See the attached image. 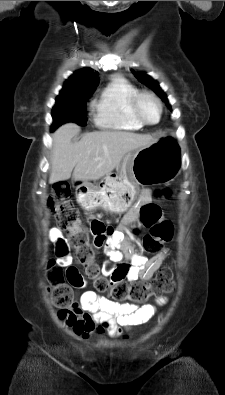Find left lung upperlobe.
I'll return each instance as SVG.
<instances>
[{"instance_id": "obj_1", "label": "left lung upper lobe", "mask_w": 225, "mask_h": 395, "mask_svg": "<svg viewBox=\"0 0 225 395\" xmlns=\"http://www.w3.org/2000/svg\"><path fill=\"white\" fill-rule=\"evenodd\" d=\"M135 77L143 84L151 88L163 101L168 103L167 97L162 89L159 87V84L153 80L150 76L146 75L143 72H133ZM170 108V105L167 104Z\"/></svg>"}]
</instances>
